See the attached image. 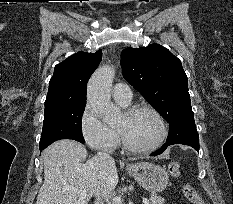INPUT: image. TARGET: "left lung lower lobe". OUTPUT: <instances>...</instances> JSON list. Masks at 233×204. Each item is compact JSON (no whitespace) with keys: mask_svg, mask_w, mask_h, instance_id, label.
<instances>
[{"mask_svg":"<svg viewBox=\"0 0 233 204\" xmlns=\"http://www.w3.org/2000/svg\"><path fill=\"white\" fill-rule=\"evenodd\" d=\"M173 144H185L193 147L199 152V136L197 132L181 133L176 138L167 141L156 153H152L151 156H156L165 151L169 145Z\"/></svg>","mask_w":233,"mask_h":204,"instance_id":"obj_1","label":"left lung lower lobe"}]
</instances>
